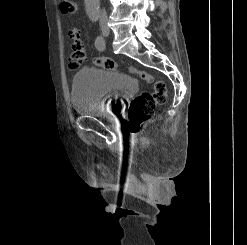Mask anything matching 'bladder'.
<instances>
[{
  "instance_id": "1",
  "label": "bladder",
  "mask_w": 247,
  "mask_h": 245,
  "mask_svg": "<svg viewBox=\"0 0 247 245\" xmlns=\"http://www.w3.org/2000/svg\"><path fill=\"white\" fill-rule=\"evenodd\" d=\"M136 88V80L126 73L105 68H83L73 78L71 102L78 114L104 117L117 113L125 98Z\"/></svg>"
}]
</instances>
